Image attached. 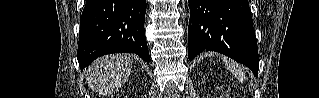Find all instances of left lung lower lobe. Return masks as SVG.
Masks as SVG:
<instances>
[{"mask_svg": "<svg viewBox=\"0 0 319 98\" xmlns=\"http://www.w3.org/2000/svg\"><path fill=\"white\" fill-rule=\"evenodd\" d=\"M188 58L204 50L224 54L258 76V50L247 0H188Z\"/></svg>", "mask_w": 319, "mask_h": 98, "instance_id": "obj_1", "label": "left lung lower lobe"}]
</instances>
